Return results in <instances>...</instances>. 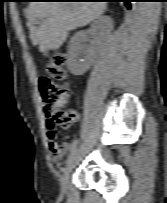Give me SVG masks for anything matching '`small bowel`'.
Masks as SVG:
<instances>
[{
  "label": "small bowel",
  "instance_id": "1",
  "mask_svg": "<svg viewBox=\"0 0 167 203\" xmlns=\"http://www.w3.org/2000/svg\"><path fill=\"white\" fill-rule=\"evenodd\" d=\"M78 120H79L78 113H74V122H78ZM48 137H49V132H48ZM55 138H56L55 135H52L51 140L49 137V146H50L51 151L53 152L54 157L56 159L60 160L67 154V152L70 150L71 146L67 142L58 143Z\"/></svg>",
  "mask_w": 167,
  "mask_h": 203
}]
</instances>
